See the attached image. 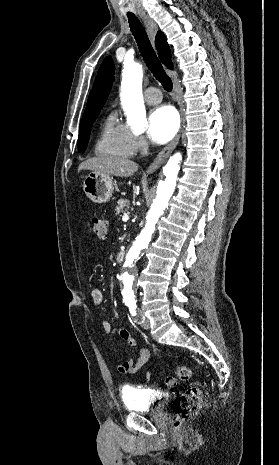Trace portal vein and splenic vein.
Listing matches in <instances>:
<instances>
[{"label": "portal vein and splenic vein", "mask_w": 279, "mask_h": 465, "mask_svg": "<svg viewBox=\"0 0 279 465\" xmlns=\"http://www.w3.org/2000/svg\"><path fill=\"white\" fill-rule=\"evenodd\" d=\"M129 220V216L127 214H125L123 217H122V221L123 222H127Z\"/></svg>", "instance_id": "1"}]
</instances>
